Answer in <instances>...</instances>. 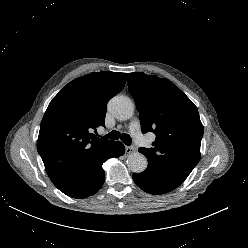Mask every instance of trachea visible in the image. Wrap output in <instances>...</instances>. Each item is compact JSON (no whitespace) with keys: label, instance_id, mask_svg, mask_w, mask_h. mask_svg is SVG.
Listing matches in <instances>:
<instances>
[{"label":"trachea","instance_id":"3493384b","mask_svg":"<svg viewBox=\"0 0 248 248\" xmlns=\"http://www.w3.org/2000/svg\"><path fill=\"white\" fill-rule=\"evenodd\" d=\"M105 139H112V140H117V139H121L124 144L126 145H131L132 139L128 134H121L118 131H111L110 133H108L107 135L104 136Z\"/></svg>","mask_w":248,"mask_h":248}]
</instances>
